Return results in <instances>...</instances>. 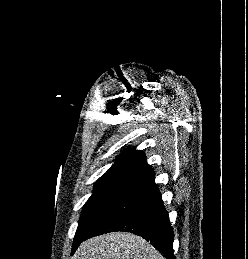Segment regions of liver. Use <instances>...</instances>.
<instances>
[{"mask_svg": "<svg viewBox=\"0 0 248 259\" xmlns=\"http://www.w3.org/2000/svg\"><path fill=\"white\" fill-rule=\"evenodd\" d=\"M74 259H164L142 237L127 232H112L84 241Z\"/></svg>", "mask_w": 248, "mask_h": 259, "instance_id": "1", "label": "liver"}]
</instances>
